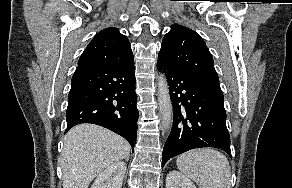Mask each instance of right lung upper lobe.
I'll use <instances>...</instances> for the list:
<instances>
[{"label": "right lung upper lobe", "mask_w": 292, "mask_h": 188, "mask_svg": "<svg viewBox=\"0 0 292 188\" xmlns=\"http://www.w3.org/2000/svg\"><path fill=\"white\" fill-rule=\"evenodd\" d=\"M133 61L131 45L117 28L100 31L88 44L79 58V64H127Z\"/></svg>", "instance_id": "cb5924a9"}]
</instances>
